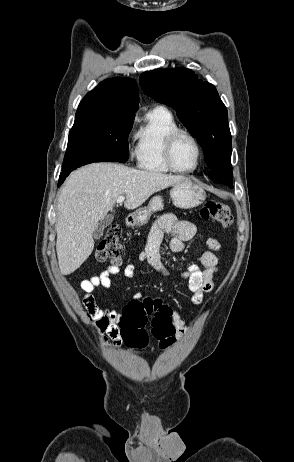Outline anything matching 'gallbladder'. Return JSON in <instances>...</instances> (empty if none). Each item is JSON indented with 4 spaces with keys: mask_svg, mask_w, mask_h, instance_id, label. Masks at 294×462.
Masks as SVG:
<instances>
[{
    "mask_svg": "<svg viewBox=\"0 0 294 462\" xmlns=\"http://www.w3.org/2000/svg\"><path fill=\"white\" fill-rule=\"evenodd\" d=\"M113 218L111 216H107L103 220H100L93 232L94 239H100L103 235L104 229L111 224Z\"/></svg>",
    "mask_w": 294,
    "mask_h": 462,
    "instance_id": "1",
    "label": "gallbladder"
}]
</instances>
